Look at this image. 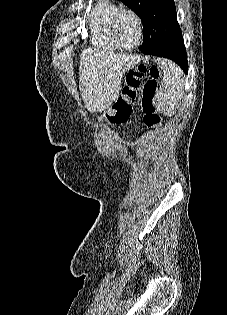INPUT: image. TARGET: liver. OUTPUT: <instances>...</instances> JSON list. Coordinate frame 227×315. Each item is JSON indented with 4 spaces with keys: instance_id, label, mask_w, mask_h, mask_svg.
Returning <instances> with one entry per match:
<instances>
[{
    "instance_id": "1",
    "label": "liver",
    "mask_w": 227,
    "mask_h": 315,
    "mask_svg": "<svg viewBox=\"0 0 227 315\" xmlns=\"http://www.w3.org/2000/svg\"><path fill=\"white\" fill-rule=\"evenodd\" d=\"M136 58L99 49H86L80 56L79 90L90 112H103L116 101L125 72Z\"/></svg>"
}]
</instances>
